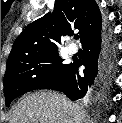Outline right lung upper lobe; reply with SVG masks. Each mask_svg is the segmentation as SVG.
<instances>
[{
	"label": "right lung upper lobe",
	"instance_id": "obj_1",
	"mask_svg": "<svg viewBox=\"0 0 122 123\" xmlns=\"http://www.w3.org/2000/svg\"><path fill=\"white\" fill-rule=\"evenodd\" d=\"M101 12L94 0H55L49 12L28 25L13 44L6 68L31 57L57 52L61 36L78 29L81 42L101 29Z\"/></svg>",
	"mask_w": 122,
	"mask_h": 123
}]
</instances>
